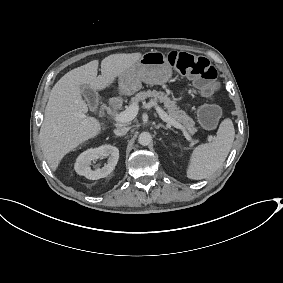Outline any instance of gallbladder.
Instances as JSON below:
<instances>
[{"label": "gallbladder", "mask_w": 283, "mask_h": 283, "mask_svg": "<svg viewBox=\"0 0 283 283\" xmlns=\"http://www.w3.org/2000/svg\"><path fill=\"white\" fill-rule=\"evenodd\" d=\"M82 90L84 91V94H86V97L89 100V103L92 104V109L93 110H100L101 109V102L98 101V95L95 93L94 89H87L85 86H82Z\"/></svg>", "instance_id": "gallbladder-1"}]
</instances>
